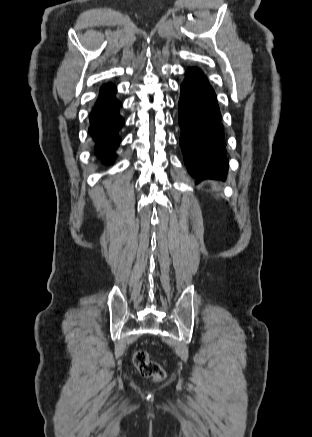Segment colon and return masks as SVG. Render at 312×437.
Masks as SVG:
<instances>
[{
  "label": "colon",
  "instance_id": "5ec220e1",
  "mask_svg": "<svg viewBox=\"0 0 312 437\" xmlns=\"http://www.w3.org/2000/svg\"><path fill=\"white\" fill-rule=\"evenodd\" d=\"M133 363L139 373L145 378L161 381L166 376L161 365L150 359L148 353L144 350H139L134 354Z\"/></svg>",
  "mask_w": 312,
  "mask_h": 437
}]
</instances>
